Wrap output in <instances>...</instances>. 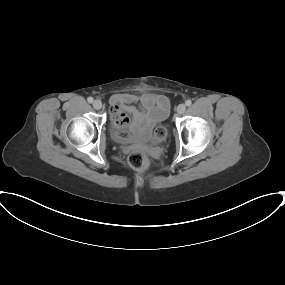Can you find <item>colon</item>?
<instances>
[{"mask_svg":"<svg viewBox=\"0 0 285 285\" xmlns=\"http://www.w3.org/2000/svg\"><path fill=\"white\" fill-rule=\"evenodd\" d=\"M154 135L157 139H163L166 136V128L161 125L157 126L155 128ZM128 163L133 169L144 170L149 166L150 161L143 152L132 151L128 156Z\"/></svg>","mask_w":285,"mask_h":285,"instance_id":"obj_1","label":"colon"}]
</instances>
